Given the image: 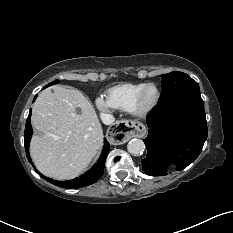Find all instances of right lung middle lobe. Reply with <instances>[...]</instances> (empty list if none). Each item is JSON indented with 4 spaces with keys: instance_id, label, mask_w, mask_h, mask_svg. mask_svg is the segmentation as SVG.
<instances>
[{
    "instance_id": "1",
    "label": "right lung middle lobe",
    "mask_w": 233,
    "mask_h": 233,
    "mask_svg": "<svg viewBox=\"0 0 233 233\" xmlns=\"http://www.w3.org/2000/svg\"><path fill=\"white\" fill-rule=\"evenodd\" d=\"M57 83H59V80H55V81L49 83L48 85H46L45 87H48V86H51V85H54V84H57Z\"/></svg>"
}]
</instances>
